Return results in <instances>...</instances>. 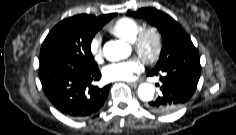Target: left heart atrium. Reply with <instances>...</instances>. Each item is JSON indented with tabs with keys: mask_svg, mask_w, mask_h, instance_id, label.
Wrapping results in <instances>:
<instances>
[{
	"mask_svg": "<svg viewBox=\"0 0 236 135\" xmlns=\"http://www.w3.org/2000/svg\"><path fill=\"white\" fill-rule=\"evenodd\" d=\"M141 69L142 67L138 60L130 59L108 65L104 70V75L110 80H129Z\"/></svg>",
	"mask_w": 236,
	"mask_h": 135,
	"instance_id": "1",
	"label": "left heart atrium"
}]
</instances>
